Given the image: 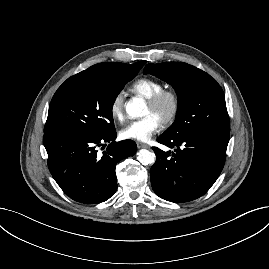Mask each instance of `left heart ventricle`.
Masks as SVG:
<instances>
[{
	"label": "left heart ventricle",
	"instance_id": "left-heart-ventricle-1",
	"mask_svg": "<svg viewBox=\"0 0 269 269\" xmlns=\"http://www.w3.org/2000/svg\"><path fill=\"white\" fill-rule=\"evenodd\" d=\"M168 110H169L168 103L163 104L157 110H154V109L150 108L148 105H146L145 111H144V116L152 114V115L156 116L161 121L162 118L164 117V115L168 112Z\"/></svg>",
	"mask_w": 269,
	"mask_h": 269
}]
</instances>
